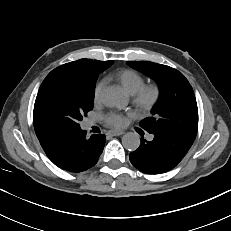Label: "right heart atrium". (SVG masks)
Wrapping results in <instances>:
<instances>
[{
	"label": "right heart atrium",
	"instance_id": "d8ad5b80",
	"mask_svg": "<svg viewBox=\"0 0 231 231\" xmlns=\"http://www.w3.org/2000/svg\"><path fill=\"white\" fill-rule=\"evenodd\" d=\"M104 88V81L98 82L94 88V100L98 101L100 99L101 93Z\"/></svg>",
	"mask_w": 231,
	"mask_h": 231
}]
</instances>
